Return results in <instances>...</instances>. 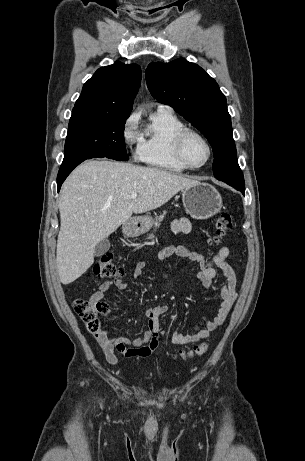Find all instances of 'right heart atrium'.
I'll return each mask as SVG.
<instances>
[{
    "label": "right heart atrium",
    "mask_w": 305,
    "mask_h": 461,
    "mask_svg": "<svg viewBox=\"0 0 305 461\" xmlns=\"http://www.w3.org/2000/svg\"><path fill=\"white\" fill-rule=\"evenodd\" d=\"M137 119L135 116H131L125 123L123 129V138L126 142H133L138 138L135 131Z\"/></svg>",
    "instance_id": "obj_1"
}]
</instances>
